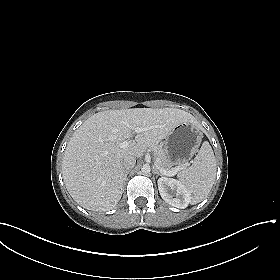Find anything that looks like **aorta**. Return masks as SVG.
<instances>
[{"instance_id": "aorta-1", "label": "aorta", "mask_w": 280, "mask_h": 280, "mask_svg": "<svg viewBox=\"0 0 280 280\" xmlns=\"http://www.w3.org/2000/svg\"><path fill=\"white\" fill-rule=\"evenodd\" d=\"M141 171H142L144 174L150 173V171H151L150 166L147 165V164L143 165V167L141 168Z\"/></svg>"}]
</instances>
